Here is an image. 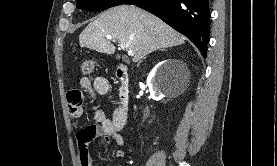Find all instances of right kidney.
<instances>
[{"label": "right kidney", "instance_id": "right-kidney-1", "mask_svg": "<svg viewBox=\"0 0 277 166\" xmlns=\"http://www.w3.org/2000/svg\"><path fill=\"white\" fill-rule=\"evenodd\" d=\"M167 63H175L180 66H183V64L176 60H165L157 64L154 69L151 71L147 78V85L149 87L150 96L153 100L159 101L161 100L163 95V83H164V77L162 76V69L165 64Z\"/></svg>", "mask_w": 277, "mask_h": 166}]
</instances>
